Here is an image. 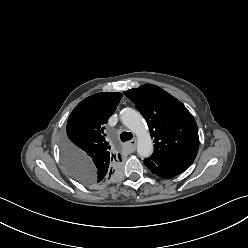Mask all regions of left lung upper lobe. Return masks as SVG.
<instances>
[{"label":"left lung upper lobe","instance_id":"obj_1","mask_svg":"<svg viewBox=\"0 0 248 248\" xmlns=\"http://www.w3.org/2000/svg\"><path fill=\"white\" fill-rule=\"evenodd\" d=\"M146 119L154 152L147 158L159 166L192 164L199 147L196 122L187 108L158 86L145 84L125 91Z\"/></svg>","mask_w":248,"mask_h":248}]
</instances>
